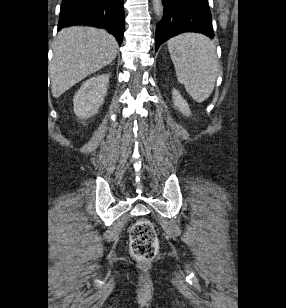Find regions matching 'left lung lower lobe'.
Masks as SVG:
<instances>
[{"label": "left lung lower lobe", "instance_id": "0a47b994", "mask_svg": "<svg viewBox=\"0 0 286 308\" xmlns=\"http://www.w3.org/2000/svg\"><path fill=\"white\" fill-rule=\"evenodd\" d=\"M164 12L156 27V51L169 38L183 32H197L213 38L208 0H162Z\"/></svg>", "mask_w": 286, "mask_h": 308}]
</instances>
